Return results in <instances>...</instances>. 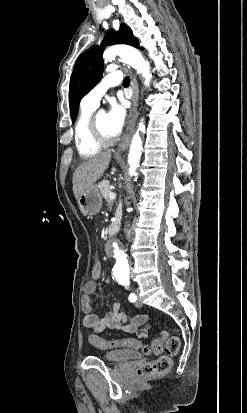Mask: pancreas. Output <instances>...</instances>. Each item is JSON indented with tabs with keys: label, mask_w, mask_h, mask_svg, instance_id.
Masks as SVG:
<instances>
[{
	"label": "pancreas",
	"mask_w": 247,
	"mask_h": 413,
	"mask_svg": "<svg viewBox=\"0 0 247 413\" xmlns=\"http://www.w3.org/2000/svg\"><path fill=\"white\" fill-rule=\"evenodd\" d=\"M103 198H106L107 202H109V200H111V198H109V192H111L109 186H110V182L109 180H101V182H98L97 184ZM114 227H116L117 225V221H115V223H113Z\"/></svg>",
	"instance_id": "obj_1"
}]
</instances>
